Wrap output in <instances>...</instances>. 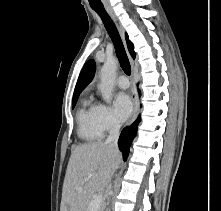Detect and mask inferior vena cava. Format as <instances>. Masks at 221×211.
<instances>
[{
    "mask_svg": "<svg viewBox=\"0 0 221 211\" xmlns=\"http://www.w3.org/2000/svg\"><path fill=\"white\" fill-rule=\"evenodd\" d=\"M120 125L116 120L111 122L109 128V136L106 139L105 144L111 148L118 150V138H119Z\"/></svg>",
    "mask_w": 221,
    "mask_h": 211,
    "instance_id": "inferior-vena-cava-1",
    "label": "inferior vena cava"
}]
</instances>
